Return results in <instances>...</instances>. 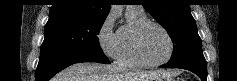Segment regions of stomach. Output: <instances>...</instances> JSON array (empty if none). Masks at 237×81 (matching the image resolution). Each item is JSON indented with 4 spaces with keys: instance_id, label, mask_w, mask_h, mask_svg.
<instances>
[{
    "instance_id": "obj_1",
    "label": "stomach",
    "mask_w": 237,
    "mask_h": 81,
    "mask_svg": "<svg viewBox=\"0 0 237 81\" xmlns=\"http://www.w3.org/2000/svg\"><path fill=\"white\" fill-rule=\"evenodd\" d=\"M152 81H172V78L169 75H161L154 78Z\"/></svg>"
}]
</instances>
